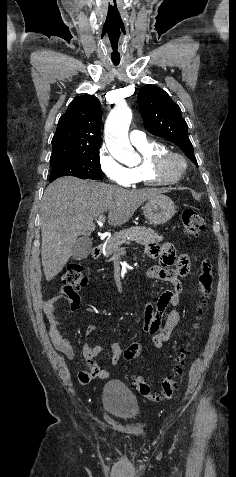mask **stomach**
<instances>
[{"instance_id":"0dacf381","label":"stomach","mask_w":236,"mask_h":477,"mask_svg":"<svg viewBox=\"0 0 236 477\" xmlns=\"http://www.w3.org/2000/svg\"><path fill=\"white\" fill-rule=\"evenodd\" d=\"M174 202L164 194H158L147 200L143 206L145 218L154 225L167 223L175 214Z\"/></svg>"}]
</instances>
